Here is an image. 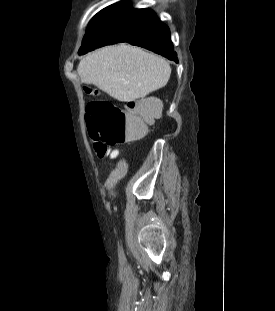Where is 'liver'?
<instances>
[{
  "instance_id": "6515ba94",
  "label": "liver",
  "mask_w": 275,
  "mask_h": 311,
  "mask_svg": "<svg viewBox=\"0 0 275 311\" xmlns=\"http://www.w3.org/2000/svg\"><path fill=\"white\" fill-rule=\"evenodd\" d=\"M77 72L81 82L93 84L119 101L130 102L164 87L171 67L162 57L120 44L88 54Z\"/></svg>"
}]
</instances>
